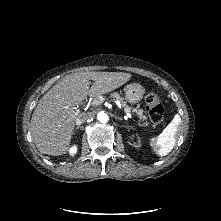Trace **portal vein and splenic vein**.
Segmentation results:
<instances>
[{
  "label": "portal vein and splenic vein",
  "mask_w": 221,
  "mask_h": 221,
  "mask_svg": "<svg viewBox=\"0 0 221 221\" xmlns=\"http://www.w3.org/2000/svg\"><path fill=\"white\" fill-rule=\"evenodd\" d=\"M103 102V99L102 98H98V99H95L93 102H92V106H96V105H99L100 103ZM126 116L128 118H132V115L130 113V111H126Z\"/></svg>",
  "instance_id": "18ae733b"
}]
</instances>
